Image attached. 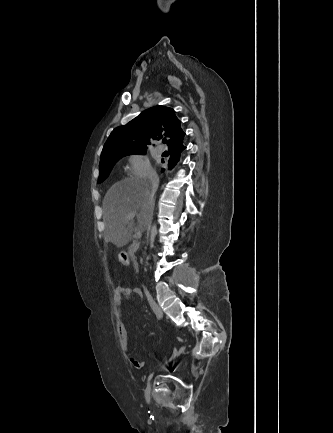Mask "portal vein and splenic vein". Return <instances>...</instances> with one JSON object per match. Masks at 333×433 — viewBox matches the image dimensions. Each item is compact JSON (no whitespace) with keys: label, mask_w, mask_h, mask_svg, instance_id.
<instances>
[{"label":"portal vein and splenic vein","mask_w":333,"mask_h":433,"mask_svg":"<svg viewBox=\"0 0 333 433\" xmlns=\"http://www.w3.org/2000/svg\"><path fill=\"white\" fill-rule=\"evenodd\" d=\"M135 215H136L135 213H129L125 218L126 221L132 220L135 217ZM136 236H137V239H140L141 238V232L137 231ZM133 246H138V240L133 241Z\"/></svg>","instance_id":"18ae733b"}]
</instances>
